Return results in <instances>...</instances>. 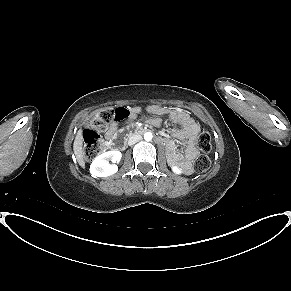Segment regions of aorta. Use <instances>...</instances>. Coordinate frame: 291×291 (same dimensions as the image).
<instances>
[{
    "mask_svg": "<svg viewBox=\"0 0 291 291\" xmlns=\"http://www.w3.org/2000/svg\"><path fill=\"white\" fill-rule=\"evenodd\" d=\"M152 138H153V135H152L151 132H146V133L144 134V139H145L146 141H151Z\"/></svg>",
    "mask_w": 291,
    "mask_h": 291,
    "instance_id": "obj_1",
    "label": "aorta"
}]
</instances>
